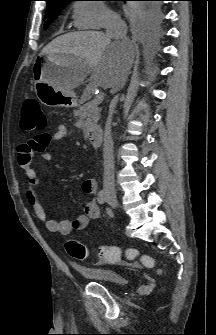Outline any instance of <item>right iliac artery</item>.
Wrapping results in <instances>:
<instances>
[{
  "instance_id": "obj_1",
  "label": "right iliac artery",
  "mask_w": 216,
  "mask_h": 335,
  "mask_svg": "<svg viewBox=\"0 0 216 335\" xmlns=\"http://www.w3.org/2000/svg\"><path fill=\"white\" fill-rule=\"evenodd\" d=\"M98 202L100 204H104L106 202V192L104 190H101L99 193H98Z\"/></svg>"
}]
</instances>
